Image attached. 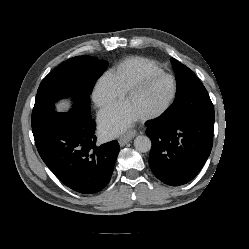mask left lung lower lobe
I'll return each instance as SVG.
<instances>
[{
	"label": "left lung lower lobe",
	"mask_w": 249,
	"mask_h": 249,
	"mask_svg": "<svg viewBox=\"0 0 249 249\" xmlns=\"http://www.w3.org/2000/svg\"><path fill=\"white\" fill-rule=\"evenodd\" d=\"M214 114L167 122L161 118L147 122L152 141L149 165L165 184L183 185L201 170L213 144Z\"/></svg>",
	"instance_id": "obj_1"
}]
</instances>
